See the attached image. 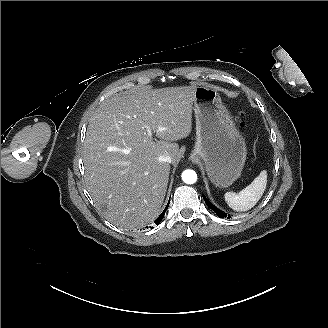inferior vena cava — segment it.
Here are the masks:
<instances>
[{"mask_svg": "<svg viewBox=\"0 0 328 328\" xmlns=\"http://www.w3.org/2000/svg\"><path fill=\"white\" fill-rule=\"evenodd\" d=\"M158 160H159V162H167V163H171V161H172L171 156L168 154L160 155L158 157Z\"/></svg>", "mask_w": 328, "mask_h": 328, "instance_id": "602c4592", "label": "inferior vena cava"}]
</instances>
